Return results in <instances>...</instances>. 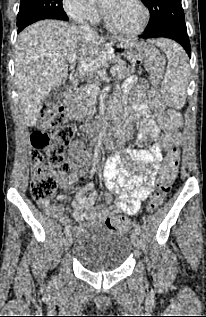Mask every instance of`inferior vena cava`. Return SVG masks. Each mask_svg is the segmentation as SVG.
Returning a JSON list of instances; mask_svg holds the SVG:
<instances>
[{
    "mask_svg": "<svg viewBox=\"0 0 206 317\" xmlns=\"http://www.w3.org/2000/svg\"><path fill=\"white\" fill-rule=\"evenodd\" d=\"M80 29L85 33L89 35H93L94 31L89 27V25H81Z\"/></svg>",
    "mask_w": 206,
    "mask_h": 317,
    "instance_id": "obj_1",
    "label": "inferior vena cava"
}]
</instances>
